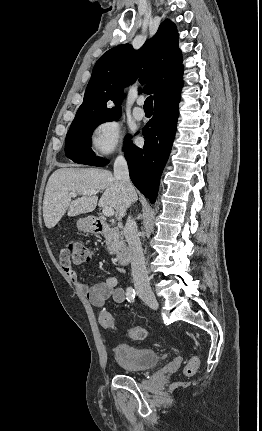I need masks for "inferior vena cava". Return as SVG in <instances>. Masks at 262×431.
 Masks as SVG:
<instances>
[{"mask_svg": "<svg viewBox=\"0 0 262 431\" xmlns=\"http://www.w3.org/2000/svg\"><path fill=\"white\" fill-rule=\"evenodd\" d=\"M114 177L121 182L124 191L128 195L133 193L134 188L130 182L128 164L122 154L115 159ZM124 236L131 252V269L134 285L138 290L150 291L151 288L142 246L137 234V224L131 217H128L125 224Z\"/></svg>", "mask_w": 262, "mask_h": 431, "instance_id": "obj_1", "label": "inferior vena cava"}]
</instances>
